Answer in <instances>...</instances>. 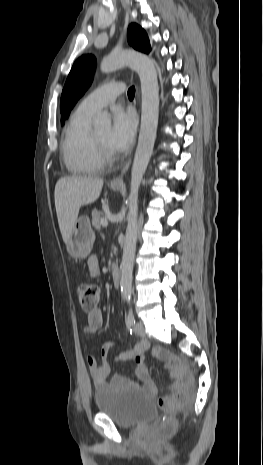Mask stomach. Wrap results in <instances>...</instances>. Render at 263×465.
Segmentation results:
<instances>
[{"instance_id":"0dacf381","label":"stomach","mask_w":263,"mask_h":465,"mask_svg":"<svg viewBox=\"0 0 263 465\" xmlns=\"http://www.w3.org/2000/svg\"><path fill=\"white\" fill-rule=\"evenodd\" d=\"M111 188L117 191L120 186H111ZM94 241L95 234L91 228L89 218L80 216L76 219L69 240L66 243L67 252L73 258L83 259L91 252Z\"/></svg>"}]
</instances>
